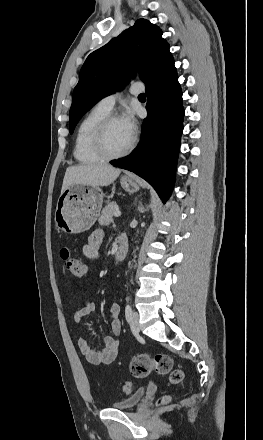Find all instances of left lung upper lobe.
Segmentation results:
<instances>
[{"label": "left lung upper lobe", "instance_id": "5c2ea615", "mask_svg": "<svg viewBox=\"0 0 263 440\" xmlns=\"http://www.w3.org/2000/svg\"><path fill=\"white\" fill-rule=\"evenodd\" d=\"M162 31L148 20L139 19L117 38L92 52L83 64L73 92L69 130L99 100L120 90L128 75L139 68L148 82L155 72L174 61Z\"/></svg>", "mask_w": 263, "mask_h": 440}]
</instances>
